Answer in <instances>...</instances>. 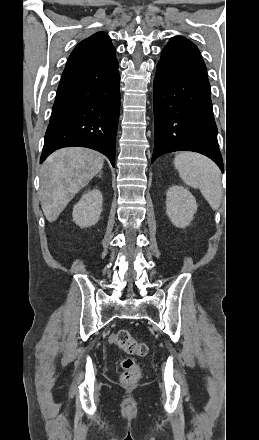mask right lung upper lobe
Here are the masks:
<instances>
[{
	"label": "right lung upper lobe",
	"instance_id": "right-lung-upper-lobe-1",
	"mask_svg": "<svg viewBox=\"0 0 259 440\" xmlns=\"http://www.w3.org/2000/svg\"><path fill=\"white\" fill-rule=\"evenodd\" d=\"M115 56L111 39L103 32L95 33L81 41L70 54L65 70L89 67Z\"/></svg>",
	"mask_w": 259,
	"mask_h": 440
}]
</instances>
